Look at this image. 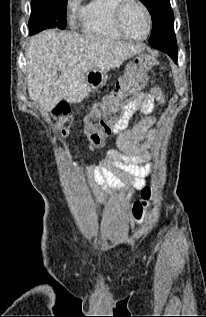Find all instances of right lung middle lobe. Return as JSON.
Masks as SVG:
<instances>
[{"label": "right lung middle lobe", "mask_w": 206, "mask_h": 317, "mask_svg": "<svg viewBox=\"0 0 206 317\" xmlns=\"http://www.w3.org/2000/svg\"><path fill=\"white\" fill-rule=\"evenodd\" d=\"M68 0H32L29 20L30 34L48 28L65 29Z\"/></svg>", "instance_id": "dd1d6c3e"}]
</instances>
